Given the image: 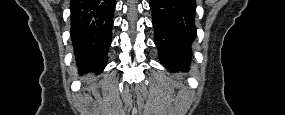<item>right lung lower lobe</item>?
<instances>
[{"mask_svg":"<svg viewBox=\"0 0 285 115\" xmlns=\"http://www.w3.org/2000/svg\"><path fill=\"white\" fill-rule=\"evenodd\" d=\"M115 0H71V40L81 71L101 72L112 40Z\"/></svg>","mask_w":285,"mask_h":115,"instance_id":"obj_1","label":"right lung lower lobe"}]
</instances>
